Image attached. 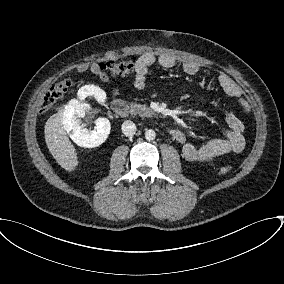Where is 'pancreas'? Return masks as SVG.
<instances>
[{
    "label": "pancreas",
    "mask_w": 284,
    "mask_h": 284,
    "mask_svg": "<svg viewBox=\"0 0 284 284\" xmlns=\"http://www.w3.org/2000/svg\"><path fill=\"white\" fill-rule=\"evenodd\" d=\"M131 110L134 115L138 114L141 117H152L154 115V112L149 107L137 103L131 104Z\"/></svg>",
    "instance_id": "obj_1"
}]
</instances>
